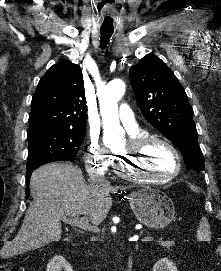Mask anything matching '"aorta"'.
<instances>
[{
	"label": "aorta",
	"instance_id": "1",
	"mask_svg": "<svg viewBox=\"0 0 221 271\" xmlns=\"http://www.w3.org/2000/svg\"><path fill=\"white\" fill-rule=\"evenodd\" d=\"M125 93V84L116 79L109 82L99 95L100 112L106 132L122 133L119 123L118 101Z\"/></svg>",
	"mask_w": 221,
	"mask_h": 271
}]
</instances>
